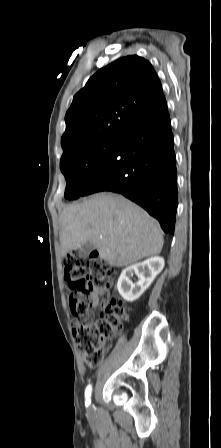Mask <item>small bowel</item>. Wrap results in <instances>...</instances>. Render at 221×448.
<instances>
[{"instance_id": "obj_1", "label": "small bowel", "mask_w": 221, "mask_h": 448, "mask_svg": "<svg viewBox=\"0 0 221 448\" xmlns=\"http://www.w3.org/2000/svg\"><path fill=\"white\" fill-rule=\"evenodd\" d=\"M102 296H103V298H102L101 301H100V299H99V297H98L97 295L93 298L92 305H91L92 308H96V307H98L99 305H100L101 307L105 308V306H106L107 303H108V295H107V294H104V295H102Z\"/></svg>"}]
</instances>
